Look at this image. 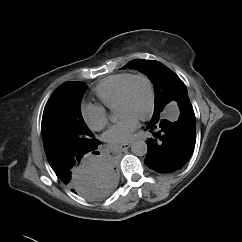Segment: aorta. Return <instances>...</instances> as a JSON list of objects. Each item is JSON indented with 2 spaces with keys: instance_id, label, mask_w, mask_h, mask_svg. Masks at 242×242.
Wrapping results in <instances>:
<instances>
[{
  "instance_id": "762f6f07",
  "label": "aorta",
  "mask_w": 242,
  "mask_h": 242,
  "mask_svg": "<svg viewBox=\"0 0 242 242\" xmlns=\"http://www.w3.org/2000/svg\"><path fill=\"white\" fill-rule=\"evenodd\" d=\"M110 119L114 120L115 117L111 115ZM131 151L136 156L146 155L147 151H148L146 142H144L143 140H137V141L133 142L131 145Z\"/></svg>"
}]
</instances>
